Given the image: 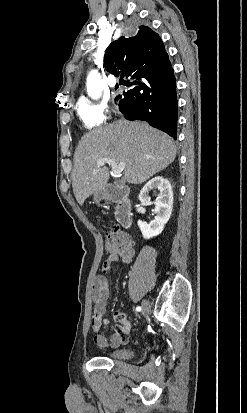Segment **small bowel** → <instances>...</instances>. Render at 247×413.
Listing matches in <instances>:
<instances>
[{"instance_id":"1","label":"small bowel","mask_w":247,"mask_h":413,"mask_svg":"<svg viewBox=\"0 0 247 413\" xmlns=\"http://www.w3.org/2000/svg\"><path fill=\"white\" fill-rule=\"evenodd\" d=\"M134 251L131 247L120 251L111 252L103 265L102 274L96 277L92 288L93 315L91 328L94 335V342L98 347H118L127 338L130 331V324L125 310L114 312V317L120 324V328L114 332L110 339L100 334V330L104 325L108 324L105 317L108 310V298L110 296V277L114 270V266L119 261L123 263H131L133 260Z\"/></svg>"}]
</instances>
